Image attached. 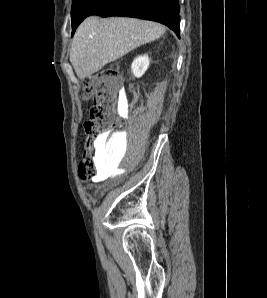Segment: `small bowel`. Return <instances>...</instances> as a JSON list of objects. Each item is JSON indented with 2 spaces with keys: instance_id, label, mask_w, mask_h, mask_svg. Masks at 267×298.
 <instances>
[{
  "instance_id": "obj_1",
  "label": "small bowel",
  "mask_w": 267,
  "mask_h": 298,
  "mask_svg": "<svg viewBox=\"0 0 267 298\" xmlns=\"http://www.w3.org/2000/svg\"><path fill=\"white\" fill-rule=\"evenodd\" d=\"M116 135L115 131H111L106 135V139L108 140H112L114 138V136Z\"/></svg>"
}]
</instances>
